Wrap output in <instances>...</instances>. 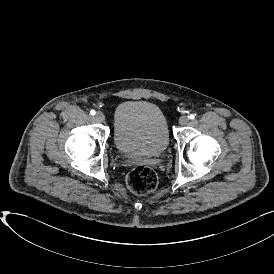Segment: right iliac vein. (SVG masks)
Returning <instances> with one entry per match:
<instances>
[{
	"label": "right iliac vein",
	"instance_id": "right-iliac-vein-1",
	"mask_svg": "<svg viewBox=\"0 0 274 274\" xmlns=\"http://www.w3.org/2000/svg\"><path fill=\"white\" fill-rule=\"evenodd\" d=\"M95 118L98 122H104L105 121V115L101 111H98L96 113Z\"/></svg>",
	"mask_w": 274,
	"mask_h": 274
}]
</instances>
